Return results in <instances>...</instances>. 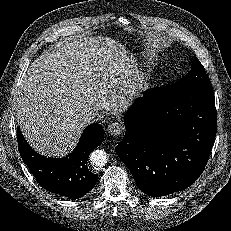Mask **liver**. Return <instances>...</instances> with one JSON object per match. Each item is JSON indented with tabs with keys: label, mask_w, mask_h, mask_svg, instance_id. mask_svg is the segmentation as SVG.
Masks as SVG:
<instances>
[{
	"label": "liver",
	"mask_w": 231,
	"mask_h": 231,
	"mask_svg": "<svg viewBox=\"0 0 231 231\" xmlns=\"http://www.w3.org/2000/svg\"><path fill=\"white\" fill-rule=\"evenodd\" d=\"M124 46L101 36L57 43L27 69L16 97L17 122L28 143L62 157L86 127V108L123 112L139 88L125 68Z\"/></svg>",
	"instance_id": "6515ba94"
}]
</instances>
